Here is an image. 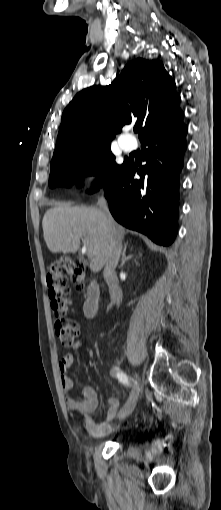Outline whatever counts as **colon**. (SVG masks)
Wrapping results in <instances>:
<instances>
[{
    "instance_id": "obj_1",
    "label": "colon",
    "mask_w": 221,
    "mask_h": 510,
    "mask_svg": "<svg viewBox=\"0 0 221 510\" xmlns=\"http://www.w3.org/2000/svg\"><path fill=\"white\" fill-rule=\"evenodd\" d=\"M68 280L73 281L80 290L85 287L84 268L79 260L65 256L48 264L47 287L51 308L56 317L54 329L65 347L73 345L80 331L79 323L70 317Z\"/></svg>"
}]
</instances>
